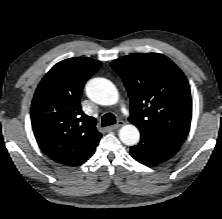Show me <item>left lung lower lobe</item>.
<instances>
[{
	"label": "left lung lower lobe",
	"instance_id": "0a47b994",
	"mask_svg": "<svg viewBox=\"0 0 222 219\" xmlns=\"http://www.w3.org/2000/svg\"><path fill=\"white\" fill-rule=\"evenodd\" d=\"M180 146L148 133H141L138 145L130 147L131 156L138 162L152 166L174 156Z\"/></svg>",
	"mask_w": 222,
	"mask_h": 219
}]
</instances>
